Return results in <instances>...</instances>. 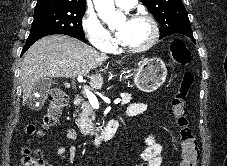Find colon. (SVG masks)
Returning a JSON list of instances; mask_svg holds the SVG:
<instances>
[{"label":"colon","mask_w":227,"mask_h":166,"mask_svg":"<svg viewBox=\"0 0 227 166\" xmlns=\"http://www.w3.org/2000/svg\"><path fill=\"white\" fill-rule=\"evenodd\" d=\"M171 61L176 65H185L190 61L191 52L184 41L175 39L170 45ZM191 72L183 74L176 93L171 100V111L179 129L180 161L178 166H197L199 149L197 139L188 125L186 117V98L193 84ZM68 104L66 92L53 88L49 93L46 113L38 123H31L26 131L30 135L40 136L46 128L52 127L60 117L62 110ZM22 166H45L40 151L26 148L23 151Z\"/></svg>","instance_id":"colon-1"}]
</instances>
